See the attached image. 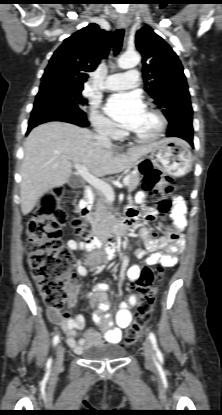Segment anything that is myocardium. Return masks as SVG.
Instances as JSON below:
<instances>
[{
    "instance_id": "obj_1",
    "label": "myocardium",
    "mask_w": 222,
    "mask_h": 415,
    "mask_svg": "<svg viewBox=\"0 0 222 415\" xmlns=\"http://www.w3.org/2000/svg\"><path fill=\"white\" fill-rule=\"evenodd\" d=\"M146 109L156 116L159 122V126L156 132L151 136H142L132 132L131 130H128L127 134L138 143H152L157 141L159 138H161L167 127V119L160 110L152 105H147Z\"/></svg>"
}]
</instances>
